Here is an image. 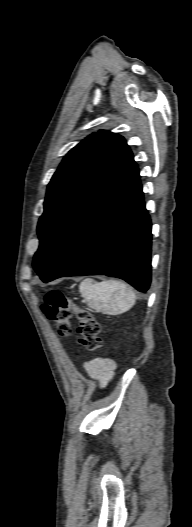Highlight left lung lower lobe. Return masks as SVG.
Segmentation results:
<instances>
[{
  "label": "left lung lower lobe",
  "instance_id": "obj_1",
  "mask_svg": "<svg viewBox=\"0 0 192 527\" xmlns=\"http://www.w3.org/2000/svg\"><path fill=\"white\" fill-rule=\"evenodd\" d=\"M151 221L135 164L78 229L63 253L41 276L107 275L145 292L151 281Z\"/></svg>",
  "mask_w": 192,
  "mask_h": 527
}]
</instances>
